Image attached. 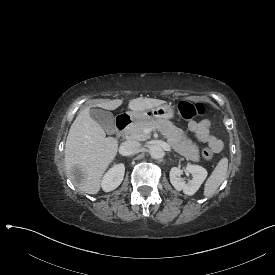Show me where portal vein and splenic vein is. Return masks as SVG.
<instances>
[{"label":"portal vein and splenic vein","instance_id":"1","mask_svg":"<svg viewBox=\"0 0 275 275\" xmlns=\"http://www.w3.org/2000/svg\"><path fill=\"white\" fill-rule=\"evenodd\" d=\"M152 131H153L152 129L146 128V129H144V134L148 135V134L152 133Z\"/></svg>","mask_w":275,"mask_h":275}]
</instances>
